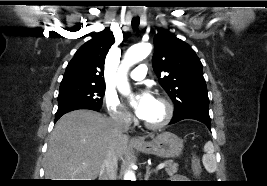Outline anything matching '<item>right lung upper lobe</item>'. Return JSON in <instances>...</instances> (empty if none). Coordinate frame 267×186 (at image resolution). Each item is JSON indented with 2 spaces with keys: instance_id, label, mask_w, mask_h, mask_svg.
Masks as SVG:
<instances>
[{
  "instance_id": "obj_1",
  "label": "right lung upper lobe",
  "mask_w": 267,
  "mask_h": 186,
  "mask_svg": "<svg viewBox=\"0 0 267 186\" xmlns=\"http://www.w3.org/2000/svg\"><path fill=\"white\" fill-rule=\"evenodd\" d=\"M114 42L113 33L108 28L96 33L77 50L66 68L60 86L104 85L105 57Z\"/></svg>"
}]
</instances>
